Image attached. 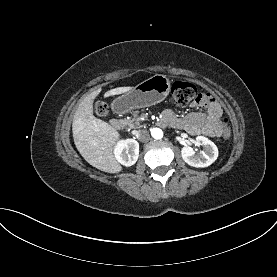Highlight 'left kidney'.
Returning <instances> with one entry per match:
<instances>
[{
    "label": "left kidney",
    "mask_w": 277,
    "mask_h": 277,
    "mask_svg": "<svg viewBox=\"0 0 277 277\" xmlns=\"http://www.w3.org/2000/svg\"><path fill=\"white\" fill-rule=\"evenodd\" d=\"M196 143L203 146V151L195 154L191 147L185 146L181 149L182 158L190 166L208 167L217 159L218 148L211 140L203 136H198Z\"/></svg>",
    "instance_id": "left-kidney-1"
}]
</instances>
